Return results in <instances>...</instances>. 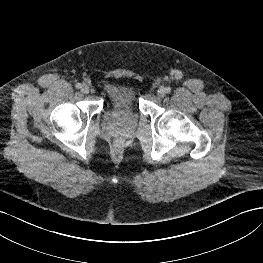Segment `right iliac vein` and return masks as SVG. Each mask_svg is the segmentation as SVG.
I'll return each instance as SVG.
<instances>
[{"label":"right iliac vein","mask_w":263,"mask_h":263,"mask_svg":"<svg viewBox=\"0 0 263 263\" xmlns=\"http://www.w3.org/2000/svg\"><path fill=\"white\" fill-rule=\"evenodd\" d=\"M89 86L87 85V84H83L82 86H81V91H82V93H84V94H87V93H89Z\"/></svg>","instance_id":"right-iliac-vein-1"}]
</instances>
